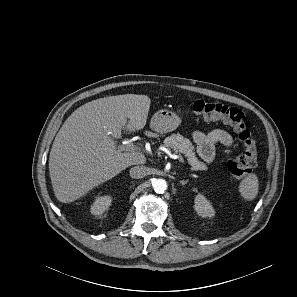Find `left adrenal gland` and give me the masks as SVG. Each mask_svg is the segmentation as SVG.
I'll use <instances>...</instances> for the list:
<instances>
[{
  "mask_svg": "<svg viewBox=\"0 0 297 297\" xmlns=\"http://www.w3.org/2000/svg\"><path fill=\"white\" fill-rule=\"evenodd\" d=\"M180 183H181L182 185H185V184L188 183V181H187V180H182V181H180Z\"/></svg>",
  "mask_w": 297,
  "mask_h": 297,
  "instance_id": "obj_1",
  "label": "left adrenal gland"
}]
</instances>
